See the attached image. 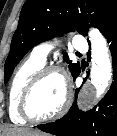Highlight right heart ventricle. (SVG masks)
<instances>
[{"label": "right heart ventricle", "instance_id": "obj_1", "mask_svg": "<svg viewBox=\"0 0 117 136\" xmlns=\"http://www.w3.org/2000/svg\"><path fill=\"white\" fill-rule=\"evenodd\" d=\"M44 64L45 62H41L31 55L14 73L8 92V112L10 119L14 123H26V120L18 112L20 97L28 81Z\"/></svg>", "mask_w": 117, "mask_h": 136}]
</instances>
